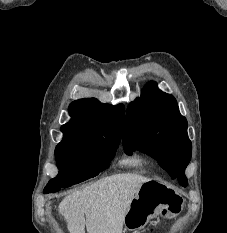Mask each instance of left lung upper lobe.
Masks as SVG:
<instances>
[{
	"instance_id": "5c2ea615",
	"label": "left lung upper lobe",
	"mask_w": 227,
	"mask_h": 233,
	"mask_svg": "<svg viewBox=\"0 0 227 233\" xmlns=\"http://www.w3.org/2000/svg\"><path fill=\"white\" fill-rule=\"evenodd\" d=\"M123 147L127 154L135 148L151 155L182 186L187 185L184 174L190 162L192 144L187 135V120L175 98L149 82L141 96L127 108Z\"/></svg>"
}]
</instances>
